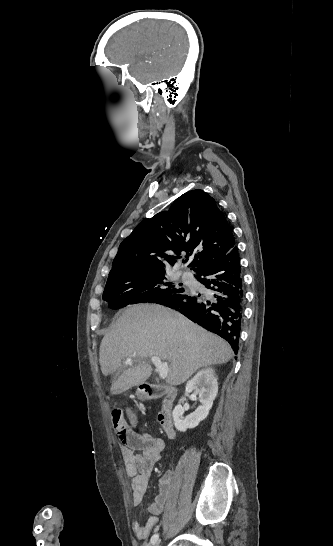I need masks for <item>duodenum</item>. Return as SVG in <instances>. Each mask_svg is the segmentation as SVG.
I'll return each instance as SVG.
<instances>
[{
	"label": "duodenum",
	"mask_w": 333,
	"mask_h": 546,
	"mask_svg": "<svg viewBox=\"0 0 333 546\" xmlns=\"http://www.w3.org/2000/svg\"><path fill=\"white\" fill-rule=\"evenodd\" d=\"M141 393L146 400L161 398L158 422L161 425L164 434L172 439L175 435L172 410L177 390L171 386L161 387L154 384H143L141 385Z\"/></svg>",
	"instance_id": "1"
}]
</instances>
